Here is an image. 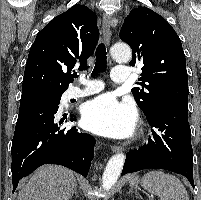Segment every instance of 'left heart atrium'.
Listing matches in <instances>:
<instances>
[{
	"mask_svg": "<svg viewBox=\"0 0 201 200\" xmlns=\"http://www.w3.org/2000/svg\"><path fill=\"white\" fill-rule=\"evenodd\" d=\"M82 121L85 128L100 135L125 138L134 132L137 117L131 104L121 103L105 94L84 106Z\"/></svg>",
	"mask_w": 201,
	"mask_h": 200,
	"instance_id": "1",
	"label": "left heart atrium"
}]
</instances>
